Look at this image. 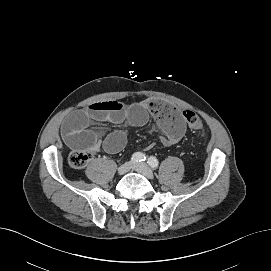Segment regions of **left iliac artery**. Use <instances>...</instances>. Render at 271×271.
<instances>
[{
  "instance_id": "1",
  "label": "left iliac artery",
  "mask_w": 271,
  "mask_h": 271,
  "mask_svg": "<svg viewBox=\"0 0 271 271\" xmlns=\"http://www.w3.org/2000/svg\"><path fill=\"white\" fill-rule=\"evenodd\" d=\"M147 163H148L152 168H157L158 165H159L158 160H157L155 157H153V156H151V157L148 159Z\"/></svg>"
}]
</instances>
